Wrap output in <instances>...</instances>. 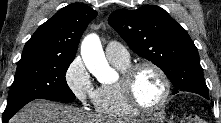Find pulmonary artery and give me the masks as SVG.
<instances>
[{"mask_svg": "<svg viewBox=\"0 0 221 123\" xmlns=\"http://www.w3.org/2000/svg\"><path fill=\"white\" fill-rule=\"evenodd\" d=\"M105 53L109 61L125 63L130 58L126 48L116 41H111L106 45Z\"/></svg>", "mask_w": 221, "mask_h": 123, "instance_id": "1", "label": "pulmonary artery"}]
</instances>
